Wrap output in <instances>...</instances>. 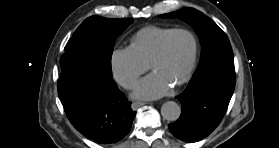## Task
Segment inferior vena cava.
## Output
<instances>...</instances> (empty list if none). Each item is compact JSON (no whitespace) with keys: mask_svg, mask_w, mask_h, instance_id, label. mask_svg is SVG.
I'll use <instances>...</instances> for the list:
<instances>
[{"mask_svg":"<svg viewBox=\"0 0 279 148\" xmlns=\"http://www.w3.org/2000/svg\"><path fill=\"white\" fill-rule=\"evenodd\" d=\"M122 86L126 87V88H130L133 85V81L131 80H124L121 82Z\"/></svg>","mask_w":279,"mask_h":148,"instance_id":"inferior-vena-cava-1","label":"inferior vena cava"}]
</instances>
